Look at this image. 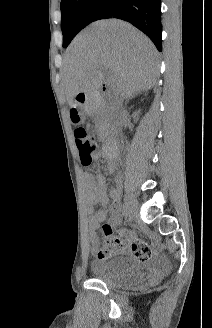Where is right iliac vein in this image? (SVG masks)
Listing matches in <instances>:
<instances>
[{
    "instance_id": "63e3f726",
    "label": "right iliac vein",
    "mask_w": 212,
    "mask_h": 328,
    "mask_svg": "<svg viewBox=\"0 0 212 328\" xmlns=\"http://www.w3.org/2000/svg\"><path fill=\"white\" fill-rule=\"evenodd\" d=\"M125 205L129 213L136 212V203L131 194H127L125 198Z\"/></svg>"
}]
</instances>
